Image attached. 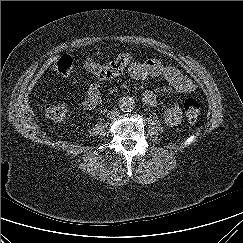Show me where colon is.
Listing matches in <instances>:
<instances>
[{"instance_id":"obj_1","label":"colon","mask_w":243,"mask_h":243,"mask_svg":"<svg viewBox=\"0 0 243 243\" xmlns=\"http://www.w3.org/2000/svg\"><path fill=\"white\" fill-rule=\"evenodd\" d=\"M76 65L82 66L85 70L100 79H112L121 75L126 68L132 65L131 56L127 53L119 55L115 60L100 64L87 57L76 55L61 56L53 66V70L60 76H68L72 73ZM184 112L189 123L198 121L201 107L194 98H187L183 104ZM67 113V108L63 103H51L45 106V115L54 122H62Z\"/></svg>"}]
</instances>
